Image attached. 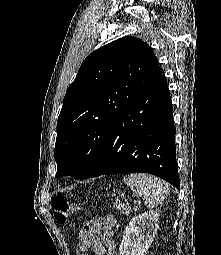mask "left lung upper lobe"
<instances>
[{
	"mask_svg": "<svg viewBox=\"0 0 221 255\" xmlns=\"http://www.w3.org/2000/svg\"><path fill=\"white\" fill-rule=\"evenodd\" d=\"M154 52L126 36L91 53L69 86L57 121V177L80 179L117 118L161 76Z\"/></svg>",
	"mask_w": 221,
	"mask_h": 255,
	"instance_id": "obj_1",
	"label": "left lung upper lobe"
}]
</instances>
